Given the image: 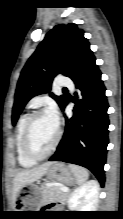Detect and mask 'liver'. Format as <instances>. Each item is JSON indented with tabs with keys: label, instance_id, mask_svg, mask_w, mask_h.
Masks as SVG:
<instances>
[{
	"label": "liver",
	"instance_id": "6515ba94",
	"mask_svg": "<svg viewBox=\"0 0 123 219\" xmlns=\"http://www.w3.org/2000/svg\"><path fill=\"white\" fill-rule=\"evenodd\" d=\"M54 162H46L40 166L18 172L13 180L12 203L14 204L22 188L39 180Z\"/></svg>",
	"mask_w": 123,
	"mask_h": 219
}]
</instances>
